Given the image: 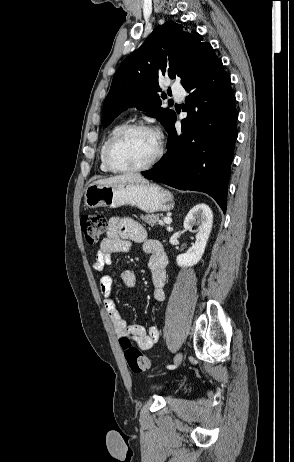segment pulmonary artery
Segmentation results:
<instances>
[{"instance_id":"1","label":"pulmonary artery","mask_w":294,"mask_h":462,"mask_svg":"<svg viewBox=\"0 0 294 462\" xmlns=\"http://www.w3.org/2000/svg\"><path fill=\"white\" fill-rule=\"evenodd\" d=\"M172 92L174 94V97L178 100V101H182L183 98H184V90L178 86V85H172Z\"/></svg>"}]
</instances>
